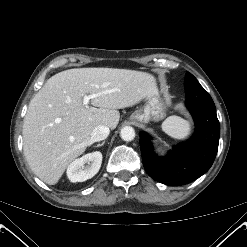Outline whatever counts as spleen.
<instances>
[{
  "instance_id": "1",
  "label": "spleen",
  "mask_w": 247,
  "mask_h": 247,
  "mask_svg": "<svg viewBox=\"0 0 247 247\" xmlns=\"http://www.w3.org/2000/svg\"><path fill=\"white\" fill-rule=\"evenodd\" d=\"M162 130L172 138L185 139L190 134V123L179 116H169L162 123Z\"/></svg>"
}]
</instances>
